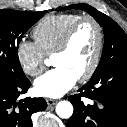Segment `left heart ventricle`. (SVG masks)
<instances>
[{
  "label": "left heart ventricle",
  "instance_id": "1",
  "mask_svg": "<svg viewBox=\"0 0 127 127\" xmlns=\"http://www.w3.org/2000/svg\"><path fill=\"white\" fill-rule=\"evenodd\" d=\"M97 45V32L90 22L83 23L75 33L69 49L52 58L56 67H65L77 78L89 67Z\"/></svg>",
  "mask_w": 127,
  "mask_h": 127
}]
</instances>
